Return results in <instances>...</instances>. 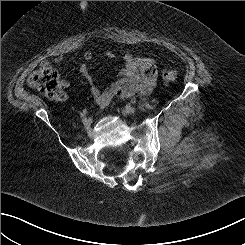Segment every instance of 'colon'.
Masks as SVG:
<instances>
[{
  "label": "colon",
  "instance_id": "colon-1",
  "mask_svg": "<svg viewBox=\"0 0 245 245\" xmlns=\"http://www.w3.org/2000/svg\"><path fill=\"white\" fill-rule=\"evenodd\" d=\"M177 80V73L173 69H164L161 73V81L165 86H171ZM28 85L45 96L58 99L62 95L58 83V74L54 68L44 64L35 70L28 78Z\"/></svg>",
  "mask_w": 245,
  "mask_h": 245
}]
</instances>
